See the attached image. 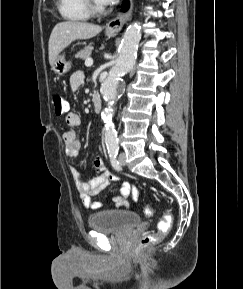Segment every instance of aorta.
<instances>
[{
    "instance_id": "1",
    "label": "aorta",
    "mask_w": 243,
    "mask_h": 289,
    "mask_svg": "<svg viewBox=\"0 0 243 289\" xmlns=\"http://www.w3.org/2000/svg\"><path fill=\"white\" fill-rule=\"evenodd\" d=\"M141 39L140 23L135 22L129 25L123 35L119 56L115 65L109 72L108 77L102 83L101 94L107 102L106 108L101 112L102 120L105 124V143L108 152H117L119 149L117 132L112 118L114 115L113 105L117 99V91L121 77L129 71L135 64L138 44Z\"/></svg>"
}]
</instances>
